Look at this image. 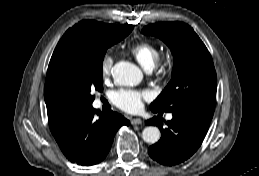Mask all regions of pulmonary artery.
Listing matches in <instances>:
<instances>
[{"instance_id": "1", "label": "pulmonary artery", "mask_w": 259, "mask_h": 176, "mask_svg": "<svg viewBox=\"0 0 259 176\" xmlns=\"http://www.w3.org/2000/svg\"><path fill=\"white\" fill-rule=\"evenodd\" d=\"M172 118H173V115H172V114H168V115H167V119H168V120H171Z\"/></svg>"}]
</instances>
